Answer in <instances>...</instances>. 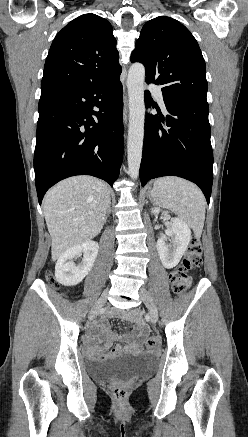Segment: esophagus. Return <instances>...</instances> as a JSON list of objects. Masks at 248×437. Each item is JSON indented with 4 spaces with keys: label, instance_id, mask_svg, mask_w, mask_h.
Segmentation results:
<instances>
[{
    "label": "esophagus",
    "instance_id": "34e87169",
    "mask_svg": "<svg viewBox=\"0 0 248 437\" xmlns=\"http://www.w3.org/2000/svg\"><path fill=\"white\" fill-rule=\"evenodd\" d=\"M124 121H125V123L127 122V107H125V110H124Z\"/></svg>",
    "mask_w": 248,
    "mask_h": 437
}]
</instances>
